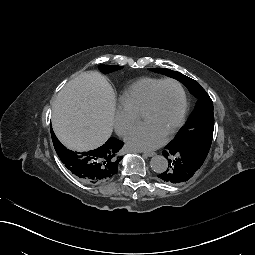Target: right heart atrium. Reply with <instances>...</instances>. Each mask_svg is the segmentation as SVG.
I'll return each mask as SVG.
<instances>
[{
    "instance_id": "d8ad5b80",
    "label": "right heart atrium",
    "mask_w": 255,
    "mask_h": 255,
    "mask_svg": "<svg viewBox=\"0 0 255 255\" xmlns=\"http://www.w3.org/2000/svg\"><path fill=\"white\" fill-rule=\"evenodd\" d=\"M139 119L138 114L118 106L114 110L113 123L118 135L124 136Z\"/></svg>"
}]
</instances>
